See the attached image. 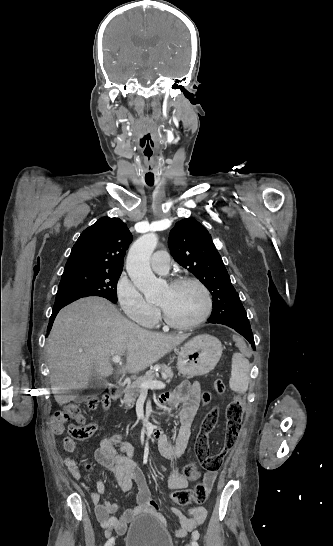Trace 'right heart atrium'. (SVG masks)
<instances>
[{
    "instance_id": "d8ad5b80",
    "label": "right heart atrium",
    "mask_w": 333,
    "mask_h": 546,
    "mask_svg": "<svg viewBox=\"0 0 333 546\" xmlns=\"http://www.w3.org/2000/svg\"><path fill=\"white\" fill-rule=\"evenodd\" d=\"M115 293L121 310L130 320L143 326H151L156 322L158 309L144 298L126 275L117 281Z\"/></svg>"
}]
</instances>
